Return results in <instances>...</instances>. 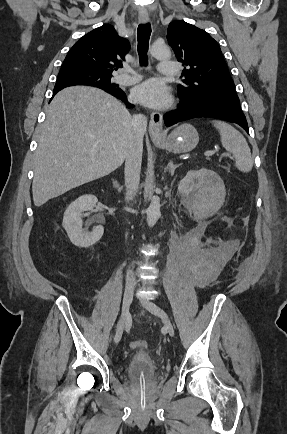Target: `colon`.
Instances as JSON below:
<instances>
[{
    "mask_svg": "<svg viewBox=\"0 0 287 434\" xmlns=\"http://www.w3.org/2000/svg\"><path fill=\"white\" fill-rule=\"evenodd\" d=\"M131 347L134 349L144 350L147 348V343L143 340H135V341L131 342Z\"/></svg>",
    "mask_w": 287,
    "mask_h": 434,
    "instance_id": "colon-1",
    "label": "colon"
}]
</instances>
